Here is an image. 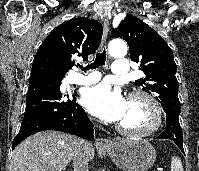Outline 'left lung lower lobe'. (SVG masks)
<instances>
[{
	"label": "left lung lower lobe",
	"mask_w": 199,
	"mask_h": 171,
	"mask_svg": "<svg viewBox=\"0 0 199 171\" xmlns=\"http://www.w3.org/2000/svg\"><path fill=\"white\" fill-rule=\"evenodd\" d=\"M157 139H170L174 141L180 150L184 153L183 149V134L179 123V113L166 112V129L161 133Z\"/></svg>",
	"instance_id": "left-lung-lower-lobe-1"
}]
</instances>
